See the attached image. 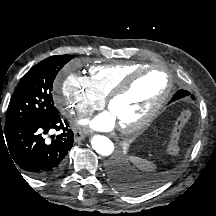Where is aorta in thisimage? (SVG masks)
<instances>
[{
    "instance_id": "762f6f07",
    "label": "aorta",
    "mask_w": 216,
    "mask_h": 216,
    "mask_svg": "<svg viewBox=\"0 0 216 216\" xmlns=\"http://www.w3.org/2000/svg\"><path fill=\"white\" fill-rule=\"evenodd\" d=\"M91 145L93 149L102 156H109L114 151V144L113 142L102 135H95L91 139Z\"/></svg>"
}]
</instances>
